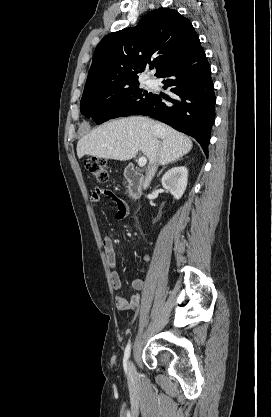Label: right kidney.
Returning a JSON list of instances; mask_svg holds the SVG:
<instances>
[{"label": "right kidney", "mask_w": 272, "mask_h": 417, "mask_svg": "<svg viewBox=\"0 0 272 417\" xmlns=\"http://www.w3.org/2000/svg\"><path fill=\"white\" fill-rule=\"evenodd\" d=\"M188 181V169L184 166L174 167L162 177L163 188L168 190L175 199H180L184 194Z\"/></svg>", "instance_id": "1"}]
</instances>
